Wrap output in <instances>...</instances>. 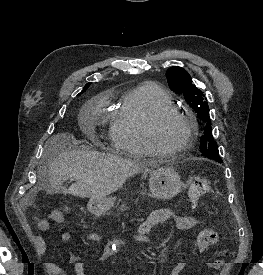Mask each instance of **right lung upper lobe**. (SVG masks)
<instances>
[{
  "instance_id": "obj_1",
  "label": "right lung upper lobe",
  "mask_w": 263,
  "mask_h": 275,
  "mask_svg": "<svg viewBox=\"0 0 263 275\" xmlns=\"http://www.w3.org/2000/svg\"><path fill=\"white\" fill-rule=\"evenodd\" d=\"M89 85H90V83L86 84V86L84 87V89H85V88H88V87H89Z\"/></svg>"
}]
</instances>
